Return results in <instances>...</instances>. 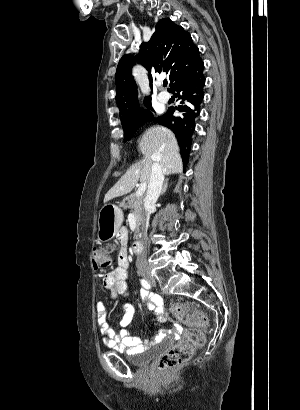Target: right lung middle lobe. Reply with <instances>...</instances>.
Listing matches in <instances>:
<instances>
[{"label":"right lung middle lobe","mask_w":300,"mask_h":410,"mask_svg":"<svg viewBox=\"0 0 300 410\" xmlns=\"http://www.w3.org/2000/svg\"><path fill=\"white\" fill-rule=\"evenodd\" d=\"M146 107L152 110L151 103L146 105ZM152 118H153V114L149 110H144L141 108V110L138 112V114L134 118L122 123L123 130H124V140L128 141L132 137L134 132L143 123H145L146 121Z\"/></svg>","instance_id":"dd1d6c3e"}]
</instances>
